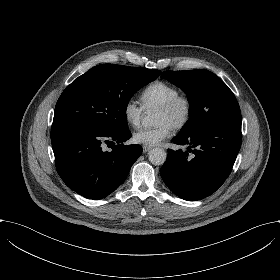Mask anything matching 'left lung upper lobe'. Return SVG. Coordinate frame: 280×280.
Listing matches in <instances>:
<instances>
[{"mask_svg": "<svg viewBox=\"0 0 280 280\" xmlns=\"http://www.w3.org/2000/svg\"><path fill=\"white\" fill-rule=\"evenodd\" d=\"M165 78L187 95L189 120L179 134H190L210 124L241 119L233 92L215 74L207 70L164 71Z\"/></svg>", "mask_w": 280, "mask_h": 280, "instance_id": "5c2ea615", "label": "left lung upper lobe"}]
</instances>
